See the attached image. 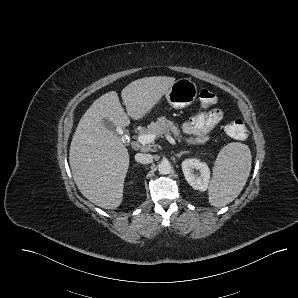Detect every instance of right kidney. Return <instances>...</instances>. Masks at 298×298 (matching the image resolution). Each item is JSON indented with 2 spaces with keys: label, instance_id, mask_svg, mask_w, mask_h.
Wrapping results in <instances>:
<instances>
[{
  "label": "right kidney",
  "instance_id": "1",
  "mask_svg": "<svg viewBox=\"0 0 298 298\" xmlns=\"http://www.w3.org/2000/svg\"><path fill=\"white\" fill-rule=\"evenodd\" d=\"M134 183H135V181L133 179H131L127 182V186L132 187L134 185Z\"/></svg>",
  "mask_w": 298,
  "mask_h": 298
}]
</instances>
